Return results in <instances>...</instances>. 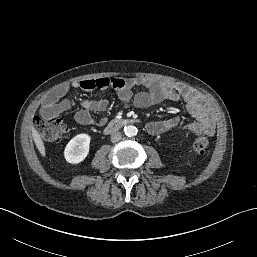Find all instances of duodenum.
Listing matches in <instances>:
<instances>
[{"instance_id":"duodenum-1","label":"duodenum","mask_w":257,"mask_h":257,"mask_svg":"<svg viewBox=\"0 0 257 257\" xmlns=\"http://www.w3.org/2000/svg\"><path fill=\"white\" fill-rule=\"evenodd\" d=\"M137 122H138V120L135 118L113 119L105 125L104 130L106 133H111V132L121 129L122 127H124L126 125L134 124Z\"/></svg>"}]
</instances>
